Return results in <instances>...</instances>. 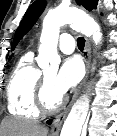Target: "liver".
<instances>
[{"mask_svg": "<svg viewBox=\"0 0 117 136\" xmlns=\"http://www.w3.org/2000/svg\"><path fill=\"white\" fill-rule=\"evenodd\" d=\"M4 136H47V129L34 121L8 119L2 124Z\"/></svg>", "mask_w": 117, "mask_h": 136, "instance_id": "liver-1", "label": "liver"}]
</instances>
